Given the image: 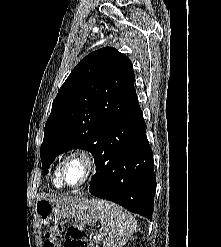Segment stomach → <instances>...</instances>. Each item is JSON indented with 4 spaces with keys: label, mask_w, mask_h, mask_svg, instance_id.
Listing matches in <instances>:
<instances>
[{
    "label": "stomach",
    "mask_w": 221,
    "mask_h": 247,
    "mask_svg": "<svg viewBox=\"0 0 221 247\" xmlns=\"http://www.w3.org/2000/svg\"><path fill=\"white\" fill-rule=\"evenodd\" d=\"M101 200L74 198H41L35 203V212L44 225L63 218H74L84 224H93L100 217Z\"/></svg>",
    "instance_id": "0dacf381"
}]
</instances>
